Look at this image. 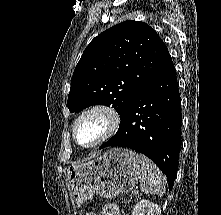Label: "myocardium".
<instances>
[{"label": "myocardium", "instance_id": "f54148a6", "mask_svg": "<svg viewBox=\"0 0 221 215\" xmlns=\"http://www.w3.org/2000/svg\"><path fill=\"white\" fill-rule=\"evenodd\" d=\"M92 113H100L102 114L106 120H107V127L105 132L92 144L89 145H82L76 135V129L80 121L87 115L92 114ZM121 124V118L117 110L112 107L111 105L104 104V103H96L89 105L85 107L83 110L80 111V113L77 115L73 122L72 126V136L73 140L81 148L84 149H92L95 148L109 139H111L118 131L119 127Z\"/></svg>", "mask_w": 221, "mask_h": 215}]
</instances>
